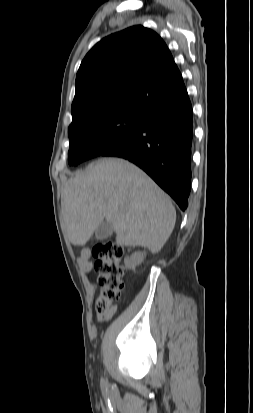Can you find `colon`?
<instances>
[{"instance_id": "obj_1", "label": "colon", "mask_w": 253, "mask_h": 413, "mask_svg": "<svg viewBox=\"0 0 253 413\" xmlns=\"http://www.w3.org/2000/svg\"><path fill=\"white\" fill-rule=\"evenodd\" d=\"M92 255L96 258L95 270L100 287L96 310L98 314H103L121 299L125 288V268L121 264L123 249L117 243L107 241L96 245L92 249Z\"/></svg>"}]
</instances>
